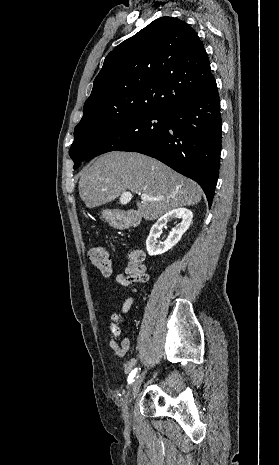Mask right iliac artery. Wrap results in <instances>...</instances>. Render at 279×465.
<instances>
[{"label":"right iliac artery","instance_id":"82829eb1","mask_svg":"<svg viewBox=\"0 0 279 465\" xmlns=\"http://www.w3.org/2000/svg\"><path fill=\"white\" fill-rule=\"evenodd\" d=\"M136 373H137V369H134V370L129 374V376H128V383H129V384L133 382V379H134Z\"/></svg>","mask_w":279,"mask_h":465}]
</instances>
